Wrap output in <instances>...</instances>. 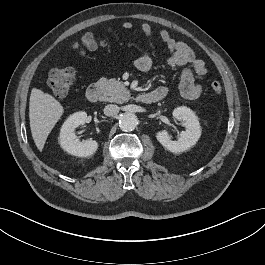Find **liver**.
Returning <instances> with one entry per match:
<instances>
[{
    "label": "liver",
    "instance_id": "obj_1",
    "mask_svg": "<svg viewBox=\"0 0 265 265\" xmlns=\"http://www.w3.org/2000/svg\"><path fill=\"white\" fill-rule=\"evenodd\" d=\"M64 109L52 95L33 88L29 101V120L33 140L42 151L48 135L62 116Z\"/></svg>",
    "mask_w": 265,
    "mask_h": 265
}]
</instances>
